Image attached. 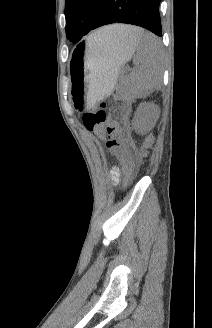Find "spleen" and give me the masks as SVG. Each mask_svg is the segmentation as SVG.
Returning <instances> with one entry per match:
<instances>
[{
  "mask_svg": "<svg viewBox=\"0 0 212 328\" xmlns=\"http://www.w3.org/2000/svg\"><path fill=\"white\" fill-rule=\"evenodd\" d=\"M88 37L90 46H99L103 41L97 34ZM133 39H137V53L134 63L137 69L131 73L132 86L139 95H148L160 87L163 76V51L159 39L149 32L139 29Z\"/></svg>",
  "mask_w": 212,
  "mask_h": 328,
  "instance_id": "3e777b00",
  "label": "spleen"
}]
</instances>
